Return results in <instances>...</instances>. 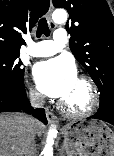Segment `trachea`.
Wrapping results in <instances>:
<instances>
[{
    "label": "trachea",
    "mask_w": 114,
    "mask_h": 156,
    "mask_svg": "<svg viewBox=\"0 0 114 156\" xmlns=\"http://www.w3.org/2000/svg\"><path fill=\"white\" fill-rule=\"evenodd\" d=\"M43 34L45 36L50 35V29L48 27V24H47V21H46L45 18H42V19L39 20L36 36L39 38Z\"/></svg>",
    "instance_id": "1"
}]
</instances>
